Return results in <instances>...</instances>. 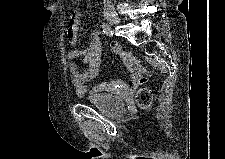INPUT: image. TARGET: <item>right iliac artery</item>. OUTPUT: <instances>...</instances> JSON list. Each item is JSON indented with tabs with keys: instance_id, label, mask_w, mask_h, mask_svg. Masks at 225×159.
I'll return each instance as SVG.
<instances>
[{
	"instance_id": "obj_1",
	"label": "right iliac artery",
	"mask_w": 225,
	"mask_h": 159,
	"mask_svg": "<svg viewBox=\"0 0 225 159\" xmlns=\"http://www.w3.org/2000/svg\"><path fill=\"white\" fill-rule=\"evenodd\" d=\"M101 27H102V29H103V32H104L107 36H109V37L113 36V34H114V33H113V30L111 29V27H110L108 24L102 23Z\"/></svg>"
}]
</instances>
